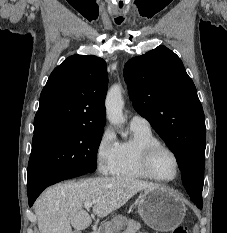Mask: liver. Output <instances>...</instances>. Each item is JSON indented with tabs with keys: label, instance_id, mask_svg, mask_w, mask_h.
Wrapping results in <instances>:
<instances>
[{
	"label": "liver",
	"instance_id": "liver-1",
	"mask_svg": "<svg viewBox=\"0 0 227 233\" xmlns=\"http://www.w3.org/2000/svg\"><path fill=\"white\" fill-rule=\"evenodd\" d=\"M159 186L127 177H102L69 181L46 190L35 202V214L40 233H73L91 224L83 209L87 202L96 201L93 213L105 217L140 191Z\"/></svg>",
	"mask_w": 227,
	"mask_h": 233
}]
</instances>
